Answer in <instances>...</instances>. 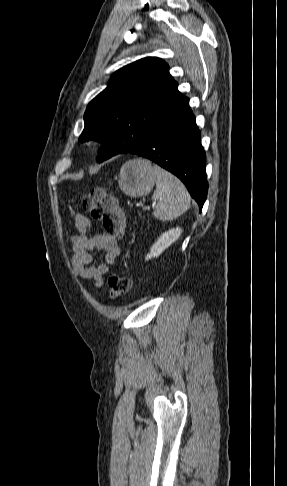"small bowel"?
Returning <instances> with one entry per match:
<instances>
[{"label":"small bowel","mask_w":287,"mask_h":486,"mask_svg":"<svg viewBox=\"0 0 287 486\" xmlns=\"http://www.w3.org/2000/svg\"><path fill=\"white\" fill-rule=\"evenodd\" d=\"M75 227L78 233L70 237L73 273L79 278L93 280L94 285L100 287L103 277L120 255V247L117 240L105 232L90 234L92 222L84 215L76 216ZM94 251L104 253V261L97 265L92 264Z\"/></svg>","instance_id":"small-bowel-1"}]
</instances>
